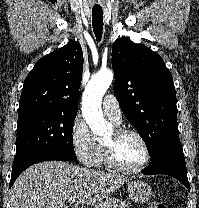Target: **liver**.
<instances>
[{"instance_id":"6515ba94","label":"liver","mask_w":199,"mask_h":208,"mask_svg":"<svg viewBox=\"0 0 199 208\" xmlns=\"http://www.w3.org/2000/svg\"><path fill=\"white\" fill-rule=\"evenodd\" d=\"M130 179L93 171L66 162L48 161L26 169L11 190V208H68L75 197L80 204H95L110 197Z\"/></svg>"}]
</instances>
